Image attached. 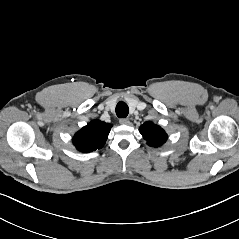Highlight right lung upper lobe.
I'll list each match as a JSON object with an SVG mask.
<instances>
[{
  "label": "right lung upper lobe",
  "mask_w": 239,
  "mask_h": 239,
  "mask_svg": "<svg viewBox=\"0 0 239 239\" xmlns=\"http://www.w3.org/2000/svg\"><path fill=\"white\" fill-rule=\"evenodd\" d=\"M112 125L93 120L73 137V144L81 152H92L104 146Z\"/></svg>",
  "instance_id": "1"
}]
</instances>
